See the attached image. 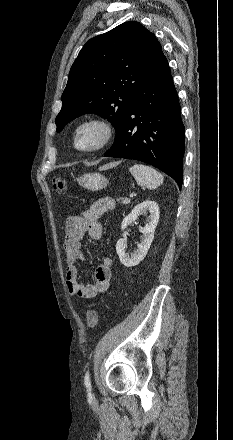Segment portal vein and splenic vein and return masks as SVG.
I'll return each instance as SVG.
<instances>
[{"label": "portal vein and splenic vein", "instance_id": "1", "mask_svg": "<svg viewBox=\"0 0 233 440\" xmlns=\"http://www.w3.org/2000/svg\"><path fill=\"white\" fill-rule=\"evenodd\" d=\"M136 194L135 193H131L130 194V197H134Z\"/></svg>", "mask_w": 233, "mask_h": 440}]
</instances>
